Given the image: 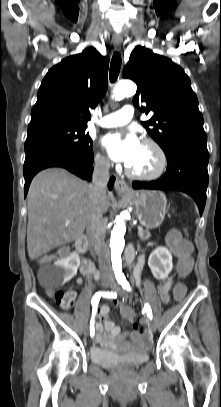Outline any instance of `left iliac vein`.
<instances>
[{
    "mask_svg": "<svg viewBox=\"0 0 221 407\" xmlns=\"http://www.w3.org/2000/svg\"><path fill=\"white\" fill-rule=\"evenodd\" d=\"M111 288L114 289V290H117L120 296L127 298L126 293H125L123 290L119 289L116 284H113V285L111 286ZM148 326H149V329H150L151 331H153V332L156 331V326H155L154 322H151V321H150L149 324H148Z\"/></svg>",
    "mask_w": 221,
    "mask_h": 407,
    "instance_id": "1",
    "label": "left iliac vein"
}]
</instances>
